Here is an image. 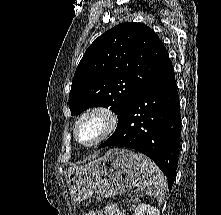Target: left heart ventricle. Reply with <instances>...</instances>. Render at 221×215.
Here are the masks:
<instances>
[{
	"label": "left heart ventricle",
	"instance_id": "b2bd125f",
	"mask_svg": "<svg viewBox=\"0 0 221 215\" xmlns=\"http://www.w3.org/2000/svg\"><path fill=\"white\" fill-rule=\"evenodd\" d=\"M103 121L98 116L86 118L78 128V138L82 143H90L102 131Z\"/></svg>",
	"mask_w": 221,
	"mask_h": 215
}]
</instances>
